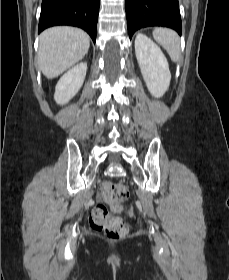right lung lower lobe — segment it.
Returning <instances> with one entry per match:
<instances>
[{"instance_id":"98d812e1","label":"right lung lower lobe","mask_w":229,"mask_h":280,"mask_svg":"<svg viewBox=\"0 0 229 280\" xmlns=\"http://www.w3.org/2000/svg\"><path fill=\"white\" fill-rule=\"evenodd\" d=\"M100 0H43L38 33L56 25L84 29L96 41Z\"/></svg>"}]
</instances>
